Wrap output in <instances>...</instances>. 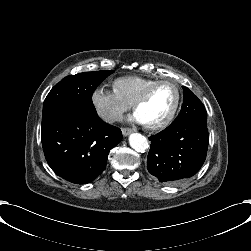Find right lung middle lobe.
Returning a JSON list of instances; mask_svg holds the SVG:
<instances>
[{"label": "right lung middle lobe", "mask_w": 251, "mask_h": 251, "mask_svg": "<svg viewBox=\"0 0 251 251\" xmlns=\"http://www.w3.org/2000/svg\"><path fill=\"white\" fill-rule=\"evenodd\" d=\"M113 72L114 70L84 72L63 78L51 89L44 101L42 122L66 107H76L97 114L92 94Z\"/></svg>", "instance_id": "right-lung-middle-lobe-1"}]
</instances>
